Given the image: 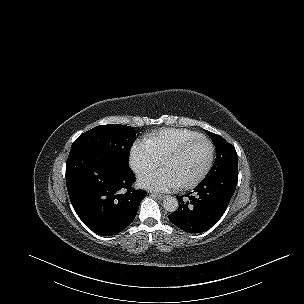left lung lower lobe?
Returning a JSON list of instances; mask_svg holds the SVG:
<instances>
[{"mask_svg":"<svg viewBox=\"0 0 304 304\" xmlns=\"http://www.w3.org/2000/svg\"><path fill=\"white\" fill-rule=\"evenodd\" d=\"M238 181V168L203 179L185 197L178 196L179 209L169 215L170 221L188 233L208 230L224 214Z\"/></svg>","mask_w":304,"mask_h":304,"instance_id":"obj_1","label":"left lung lower lobe"}]
</instances>
